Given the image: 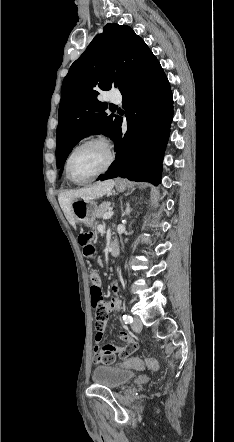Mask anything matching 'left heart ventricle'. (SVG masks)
I'll list each match as a JSON object with an SVG mask.
<instances>
[{"label": "left heart ventricle", "instance_id": "b2bd125f", "mask_svg": "<svg viewBox=\"0 0 234 442\" xmlns=\"http://www.w3.org/2000/svg\"><path fill=\"white\" fill-rule=\"evenodd\" d=\"M108 154L104 146L92 144L79 149L72 157L70 171L78 180L87 179L106 164Z\"/></svg>", "mask_w": 234, "mask_h": 442}]
</instances>
